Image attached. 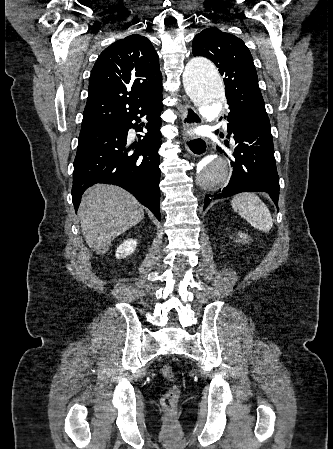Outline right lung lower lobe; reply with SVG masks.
<instances>
[{"label": "right lung lower lobe", "mask_w": 333, "mask_h": 449, "mask_svg": "<svg viewBox=\"0 0 333 449\" xmlns=\"http://www.w3.org/2000/svg\"><path fill=\"white\" fill-rule=\"evenodd\" d=\"M162 96L116 122L94 129L81 130L74 161L72 200L77 211L83 192L95 183L118 185L132 193L140 203L161 220L160 125ZM146 116L147 133L130 144V128L142 131L140 117ZM136 121L135 123L133 121ZM142 137L139 135V138Z\"/></svg>", "instance_id": "1"}]
</instances>
